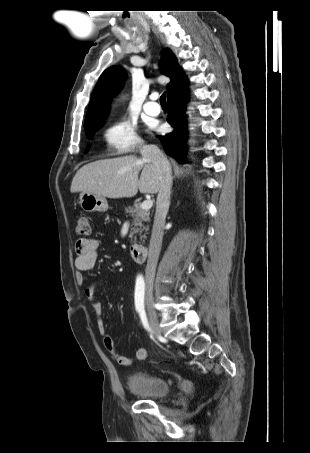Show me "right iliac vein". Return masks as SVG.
Here are the masks:
<instances>
[{"mask_svg":"<svg viewBox=\"0 0 310 453\" xmlns=\"http://www.w3.org/2000/svg\"><path fill=\"white\" fill-rule=\"evenodd\" d=\"M145 301H146L149 323L153 329L154 335L157 337L160 335V329L158 326L157 314H156V311L153 306V287L151 284H148L146 286Z\"/></svg>","mask_w":310,"mask_h":453,"instance_id":"63e3f726","label":"right iliac vein"}]
</instances>
